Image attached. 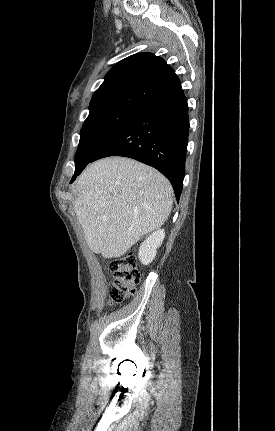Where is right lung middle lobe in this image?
I'll use <instances>...</instances> for the list:
<instances>
[{
  "instance_id": "dd1d6c3e",
  "label": "right lung middle lobe",
  "mask_w": 275,
  "mask_h": 431,
  "mask_svg": "<svg viewBox=\"0 0 275 431\" xmlns=\"http://www.w3.org/2000/svg\"><path fill=\"white\" fill-rule=\"evenodd\" d=\"M136 111L133 109H112L87 117L80 132V141L75 157V173L86 167L93 156Z\"/></svg>"
}]
</instances>
